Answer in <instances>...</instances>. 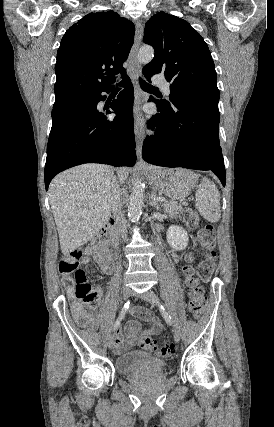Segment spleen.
Returning <instances> with one entry per match:
<instances>
[{"mask_svg":"<svg viewBox=\"0 0 274 427\" xmlns=\"http://www.w3.org/2000/svg\"><path fill=\"white\" fill-rule=\"evenodd\" d=\"M196 208L200 215H203L208 221H219L220 212V196L217 186L210 182L208 178H202L201 184L196 190Z\"/></svg>","mask_w":274,"mask_h":427,"instance_id":"3e777b00","label":"spleen"}]
</instances>
